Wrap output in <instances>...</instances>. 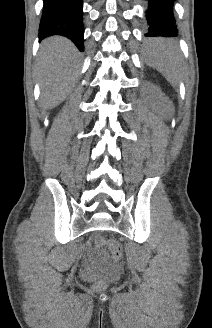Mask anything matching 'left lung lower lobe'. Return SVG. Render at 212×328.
Here are the masks:
<instances>
[{"label":"left lung lower lobe","mask_w":212,"mask_h":328,"mask_svg":"<svg viewBox=\"0 0 212 328\" xmlns=\"http://www.w3.org/2000/svg\"><path fill=\"white\" fill-rule=\"evenodd\" d=\"M175 0H148L146 19L148 22L147 37L177 36L176 21L173 16Z\"/></svg>","instance_id":"1"}]
</instances>
